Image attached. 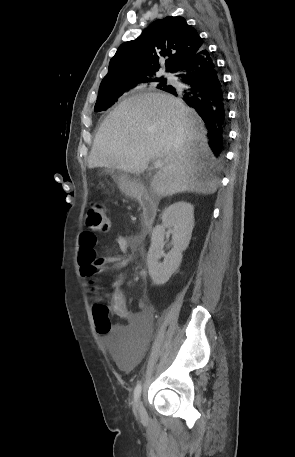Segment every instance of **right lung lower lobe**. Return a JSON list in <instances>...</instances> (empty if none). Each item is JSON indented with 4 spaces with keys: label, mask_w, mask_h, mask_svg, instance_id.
Returning a JSON list of instances; mask_svg holds the SVG:
<instances>
[{
    "label": "right lung lower lobe",
    "mask_w": 295,
    "mask_h": 457,
    "mask_svg": "<svg viewBox=\"0 0 295 457\" xmlns=\"http://www.w3.org/2000/svg\"><path fill=\"white\" fill-rule=\"evenodd\" d=\"M184 87L169 86L164 91L181 97L196 109L209 132V145L216 156L224 151L226 95L210 54L204 48L184 60L175 70Z\"/></svg>",
    "instance_id": "obj_1"
}]
</instances>
